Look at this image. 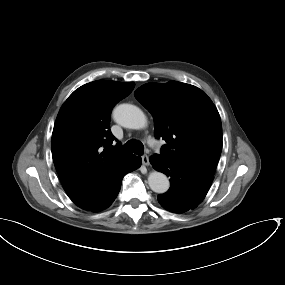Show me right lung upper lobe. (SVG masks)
I'll use <instances>...</instances> for the list:
<instances>
[{
	"instance_id": "cb5924a9",
	"label": "right lung upper lobe",
	"mask_w": 285,
	"mask_h": 285,
	"mask_svg": "<svg viewBox=\"0 0 285 285\" xmlns=\"http://www.w3.org/2000/svg\"><path fill=\"white\" fill-rule=\"evenodd\" d=\"M133 82L93 81L62 105L52 133V157L69 198L81 206L92 200L135 155L109 150L112 108L134 89Z\"/></svg>"
}]
</instances>
